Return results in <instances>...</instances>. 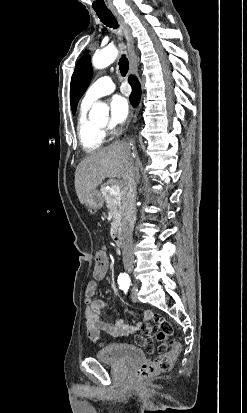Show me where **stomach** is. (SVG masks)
<instances>
[{
  "mask_svg": "<svg viewBox=\"0 0 247 413\" xmlns=\"http://www.w3.org/2000/svg\"><path fill=\"white\" fill-rule=\"evenodd\" d=\"M84 204L85 207H88V209H101L104 204V198L101 196V192H99V190H93L90 196L86 198Z\"/></svg>",
  "mask_w": 247,
  "mask_h": 413,
  "instance_id": "stomach-1",
  "label": "stomach"
}]
</instances>
